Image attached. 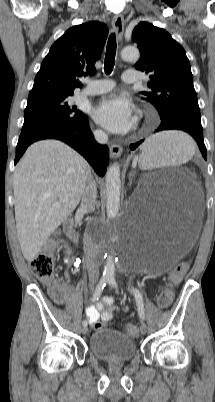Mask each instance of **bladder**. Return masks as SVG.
<instances>
[{
    "label": "bladder",
    "instance_id": "1",
    "mask_svg": "<svg viewBox=\"0 0 215 402\" xmlns=\"http://www.w3.org/2000/svg\"><path fill=\"white\" fill-rule=\"evenodd\" d=\"M88 347L92 355L107 362L128 361L136 354V344L130 336L109 328L96 329Z\"/></svg>",
    "mask_w": 215,
    "mask_h": 402
}]
</instances>
